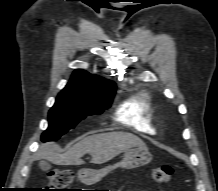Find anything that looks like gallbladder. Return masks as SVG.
Returning a JSON list of instances; mask_svg holds the SVG:
<instances>
[{
    "label": "gallbladder",
    "instance_id": "gallbladder-1",
    "mask_svg": "<svg viewBox=\"0 0 218 191\" xmlns=\"http://www.w3.org/2000/svg\"><path fill=\"white\" fill-rule=\"evenodd\" d=\"M39 167L43 171H47L51 168V164L47 160H40L39 161Z\"/></svg>",
    "mask_w": 218,
    "mask_h": 191
}]
</instances>
